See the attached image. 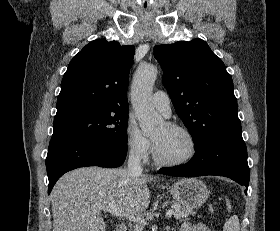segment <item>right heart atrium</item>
Listing matches in <instances>:
<instances>
[{"label":"right heart atrium","instance_id":"right-heart-atrium-1","mask_svg":"<svg viewBox=\"0 0 280 231\" xmlns=\"http://www.w3.org/2000/svg\"><path fill=\"white\" fill-rule=\"evenodd\" d=\"M125 146L128 152L143 159L152 152L150 140L141 133L133 119H129L125 127Z\"/></svg>","mask_w":280,"mask_h":231}]
</instances>
